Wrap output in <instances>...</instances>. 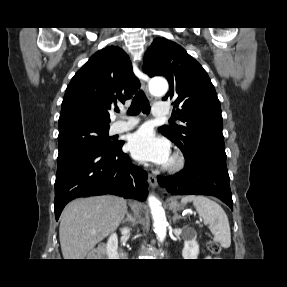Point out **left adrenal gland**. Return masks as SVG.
<instances>
[{"instance_id": "obj_1", "label": "left adrenal gland", "mask_w": 287, "mask_h": 287, "mask_svg": "<svg viewBox=\"0 0 287 287\" xmlns=\"http://www.w3.org/2000/svg\"><path fill=\"white\" fill-rule=\"evenodd\" d=\"M174 216L172 218L173 222L175 223L177 220L181 219L182 217L177 214L176 211H173Z\"/></svg>"}]
</instances>
